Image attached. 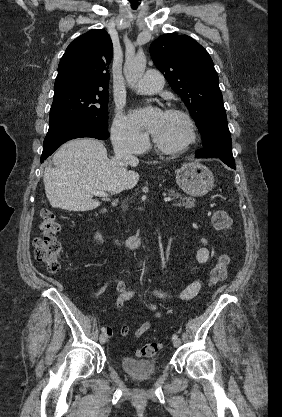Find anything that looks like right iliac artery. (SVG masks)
Listing matches in <instances>:
<instances>
[{
	"mask_svg": "<svg viewBox=\"0 0 282 417\" xmlns=\"http://www.w3.org/2000/svg\"><path fill=\"white\" fill-rule=\"evenodd\" d=\"M133 295H134V292L133 291L128 292L127 295H126V297H125V300H129ZM101 331L104 333L105 332V328L102 327L101 328Z\"/></svg>",
	"mask_w": 282,
	"mask_h": 417,
	"instance_id": "82829eb1",
	"label": "right iliac artery"
}]
</instances>
